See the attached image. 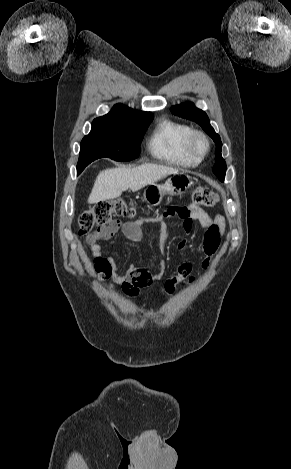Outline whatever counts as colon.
I'll return each mask as SVG.
<instances>
[{
    "label": "colon",
    "mask_w": 291,
    "mask_h": 469,
    "mask_svg": "<svg viewBox=\"0 0 291 469\" xmlns=\"http://www.w3.org/2000/svg\"><path fill=\"white\" fill-rule=\"evenodd\" d=\"M192 200L195 204L204 207H214L219 202V196L217 192L210 188L197 187L192 193ZM182 212V208H169L166 211L169 215ZM134 214L133 204L123 199L98 202L91 209L81 214L79 233L87 236V239L98 240L108 233L113 217H129ZM94 264L97 270L107 267L106 263L100 259L95 260Z\"/></svg>",
    "instance_id": "5ec220e1"
}]
</instances>
